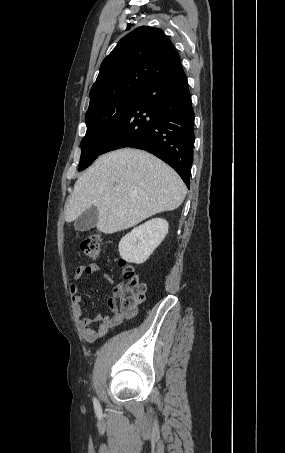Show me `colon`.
Instances as JSON below:
<instances>
[{
  "label": "colon",
  "mask_w": 285,
  "mask_h": 453,
  "mask_svg": "<svg viewBox=\"0 0 285 453\" xmlns=\"http://www.w3.org/2000/svg\"><path fill=\"white\" fill-rule=\"evenodd\" d=\"M101 243V233L93 232L83 239L80 248L86 257L97 259L101 255ZM120 267L124 283L116 287L115 297L119 300L121 313L125 316H134L145 300L147 285L126 262H120Z\"/></svg>",
  "instance_id": "colon-1"
}]
</instances>
